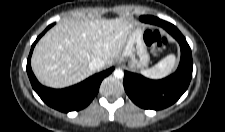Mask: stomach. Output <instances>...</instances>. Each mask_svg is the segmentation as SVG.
<instances>
[{
  "label": "stomach",
  "mask_w": 225,
  "mask_h": 132,
  "mask_svg": "<svg viewBox=\"0 0 225 132\" xmlns=\"http://www.w3.org/2000/svg\"><path fill=\"white\" fill-rule=\"evenodd\" d=\"M150 57L144 41V30L137 27L129 35L118 62L133 71H143Z\"/></svg>",
  "instance_id": "stomach-1"
}]
</instances>
